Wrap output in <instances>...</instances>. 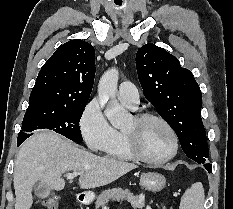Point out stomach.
I'll return each instance as SVG.
<instances>
[{"mask_svg": "<svg viewBox=\"0 0 233 209\" xmlns=\"http://www.w3.org/2000/svg\"><path fill=\"white\" fill-rule=\"evenodd\" d=\"M140 185L143 189L158 192L162 190L166 185L165 177L158 172H146L140 177ZM94 194H88L87 199L90 202L93 200Z\"/></svg>", "mask_w": 233, "mask_h": 209, "instance_id": "0dacf381", "label": "stomach"}]
</instances>
